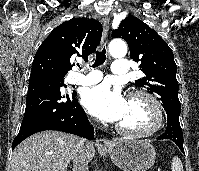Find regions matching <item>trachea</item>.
Segmentation results:
<instances>
[{
    "label": "trachea",
    "instance_id": "trachea-1",
    "mask_svg": "<svg viewBox=\"0 0 199 171\" xmlns=\"http://www.w3.org/2000/svg\"><path fill=\"white\" fill-rule=\"evenodd\" d=\"M105 59H106V50L104 47L102 50H98L96 52V59H95L94 64L92 65V67H98V66L104 64Z\"/></svg>",
    "mask_w": 199,
    "mask_h": 171
}]
</instances>
